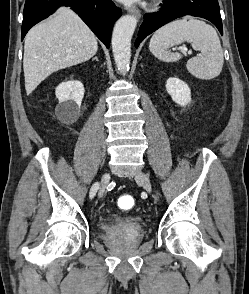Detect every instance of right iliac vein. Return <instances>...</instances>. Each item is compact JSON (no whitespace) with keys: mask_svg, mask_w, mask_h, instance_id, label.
Instances as JSON below:
<instances>
[{"mask_svg":"<svg viewBox=\"0 0 249 294\" xmlns=\"http://www.w3.org/2000/svg\"><path fill=\"white\" fill-rule=\"evenodd\" d=\"M110 181V174L109 173H105L102 177V181H101V187L99 190V198H102L105 194L106 188L109 184Z\"/></svg>","mask_w":249,"mask_h":294,"instance_id":"right-iliac-vein-1","label":"right iliac vein"}]
</instances>
